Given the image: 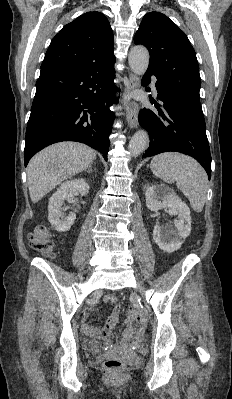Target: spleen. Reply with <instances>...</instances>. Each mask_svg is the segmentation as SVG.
<instances>
[{
	"mask_svg": "<svg viewBox=\"0 0 232 399\" xmlns=\"http://www.w3.org/2000/svg\"><path fill=\"white\" fill-rule=\"evenodd\" d=\"M151 172L166 184H174L190 201L195 211H202L207 198L208 178L202 166L178 152H166L155 156L150 164Z\"/></svg>",
	"mask_w": 232,
	"mask_h": 399,
	"instance_id": "spleen-1",
	"label": "spleen"
}]
</instances>
